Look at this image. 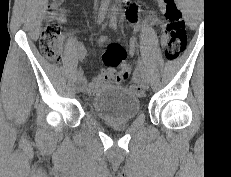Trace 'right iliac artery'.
Returning a JSON list of instances; mask_svg holds the SVG:
<instances>
[{"instance_id": "right-iliac-artery-1", "label": "right iliac artery", "mask_w": 231, "mask_h": 177, "mask_svg": "<svg viewBox=\"0 0 231 177\" xmlns=\"http://www.w3.org/2000/svg\"><path fill=\"white\" fill-rule=\"evenodd\" d=\"M107 10H108V2L106 1L100 7L98 20H97L98 24H100L104 20ZM113 11L116 12L117 8H114ZM82 77H83V70L79 69L77 72V79L80 81L82 80Z\"/></svg>"}]
</instances>
